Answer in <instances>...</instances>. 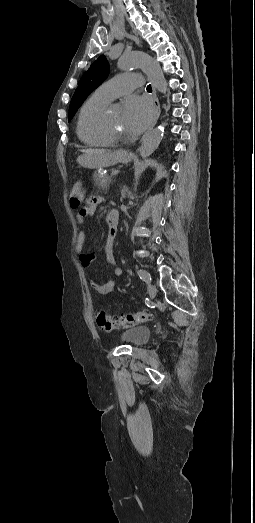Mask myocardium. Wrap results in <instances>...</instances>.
Returning a JSON list of instances; mask_svg holds the SVG:
<instances>
[{
	"instance_id": "myocardium-1",
	"label": "myocardium",
	"mask_w": 255,
	"mask_h": 523,
	"mask_svg": "<svg viewBox=\"0 0 255 523\" xmlns=\"http://www.w3.org/2000/svg\"><path fill=\"white\" fill-rule=\"evenodd\" d=\"M109 108H104L94 119L93 127L97 130L98 133L106 136L112 142H131L134 140L133 137L123 138L117 134L113 129L108 115Z\"/></svg>"
}]
</instances>
